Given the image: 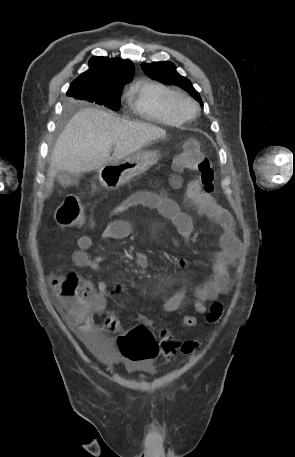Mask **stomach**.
Masks as SVG:
<instances>
[{"mask_svg":"<svg viewBox=\"0 0 295 457\" xmlns=\"http://www.w3.org/2000/svg\"><path fill=\"white\" fill-rule=\"evenodd\" d=\"M160 158L158 150H139L122 159L112 161L98 171L101 185L109 190L117 189L128 183L153 165Z\"/></svg>","mask_w":295,"mask_h":457,"instance_id":"0dacf381","label":"stomach"}]
</instances>
